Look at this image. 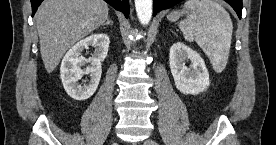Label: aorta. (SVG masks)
Returning <instances> with one entry per match:
<instances>
[{
  "label": "aorta",
  "instance_id": "aorta-1",
  "mask_svg": "<svg viewBox=\"0 0 276 145\" xmlns=\"http://www.w3.org/2000/svg\"><path fill=\"white\" fill-rule=\"evenodd\" d=\"M138 19L142 25H148L152 17V0H135Z\"/></svg>",
  "mask_w": 276,
  "mask_h": 145
}]
</instances>
